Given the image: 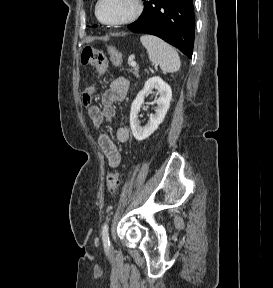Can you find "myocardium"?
<instances>
[{
	"label": "myocardium",
	"instance_id": "myocardium-1",
	"mask_svg": "<svg viewBox=\"0 0 273 288\" xmlns=\"http://www.w3.org/2000/svg\"><path fill=\"white\" fill-rule=\"evenodd\" d=\"M103 0H98L96 3V7H95V14L97 19L104 25L106 26H110V27H115V26H120V25H125V24H129L134 22L135 20H137L143 13L144 11V3L143 0H134V10L133 12L128 15L125 18L116 20V21H104L101 16H100V6L102 4Z\"/></svg>",
	"mask_w": 273,
	"mask_h": 288
}]
</instances>
